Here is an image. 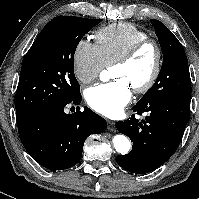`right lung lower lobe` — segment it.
I'll use <instances>...</instances> for the list:
<instances>
[{
    "mask_svg": "<svg viewBox=\"0 0 199 199\" xmlns=\"http://www.w3.org/2000/svg\"><path fill=\"white\" fill-rule=\"evenodd\" d=\"M81 96L57 107H47L17 122L20 139L32 158L51 170L76 165L86 138L102 133L106 120L85 107L83 112L66 114L67 104H79Z\"/></svg>",
    "mask_w": 199,
    "mask_h": 199,
    "instance_id": "obj_1",
    "label": "right lung lower lobe"
}]
</instances>
